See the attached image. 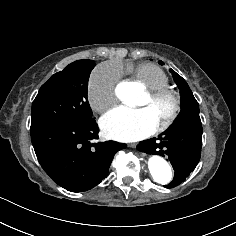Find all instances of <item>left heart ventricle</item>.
<instances>
[{"label":"left heart ventricle","mask_w":236,"mask_h":236,"mask_svg":"<svg viewBox=\"0 0 236 236\" xmlns=\"http://www.w3.org/2000/svg\"><path fill=\"white\" fill-rule=\"evenodd\" d=\"M136 107H139L140 109H148L151 113V116H152V119L154 122V126H156L158 124H161L164 121V119L169 111L170 105L168 102H163L158 105H151L149 103L148 96H145L138 103V105Z\"/></svg>","instance_id":"b2bd125f"}]
</instances>
